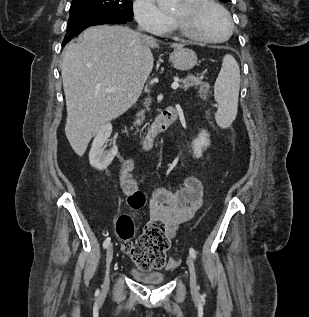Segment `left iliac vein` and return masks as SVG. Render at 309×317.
<instances>
[{
    "mask_svg": "<svg viewBox=\"0 0 309 317\" xmlns=\"http://www.w3.org/2000/svg\"><path fill=\"white\" fill-rule=\"evenodd\" d=\"M189 273H190V288L192 293H197L198 286H197V277H196V269L193 258L189 255L186 260Z\"/></svg>",
    "mask_w": 309,
    "mask_h": 317,
    "instance_id": "1",
    "label": "left iliac vein"
}]
</instances>
